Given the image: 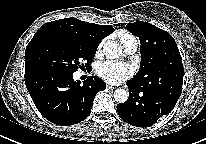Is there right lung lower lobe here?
Wrapping results in <instances>:
<instances>
[{
  "mask_svg": "<svg viewBox=\"0 0 206 144\" xmlns=\"http://www.w3.org/2000/svg\"><path fill=\"white\" fill-rule=\"evenodd\" d=\"M25 84L39 112L48 121L61 126L80 123L86 119L97 92L106 84L98 77L74 81L72 74L49 70L25 71Z\"/></svg>",
  "mask_w": 206,
  "mask_h": 144,
  "instance_id": "obj_1",
  "label": "right lung lower lobe"
}]
</instances>
